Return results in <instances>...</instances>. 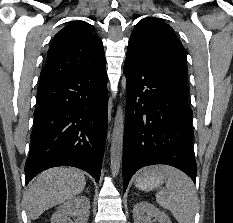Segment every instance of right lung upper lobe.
<instances>
[{
	"label": "right lung upper lobe",
	"mask_w": 233,
	"mask_h": 223,
	"mask_svg": "<svg viewBox=\"0 0 233 223\" xmlns=\"http://www.w3.org/2000/svg\"><path fill=\"white\" fill-rule=\"evenodd\" d=\"M105 63L103 44L93 26L76 21L55 35L40 74V83L98 70Z\"/></svg>",
	"instance_id": "1"
}]
</instances>
